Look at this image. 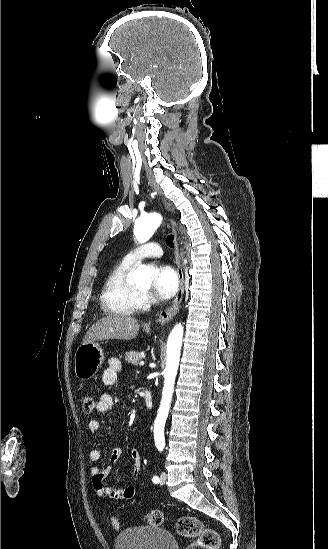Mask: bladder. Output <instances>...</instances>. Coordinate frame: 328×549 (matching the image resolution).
<instances>
[{"label": "bladder", "mask_w": 328, "mask_h": 549, "mask_svg": "<svg viewBox=\"0 0 328 549\" xmlns=\"http://www.w3.org/2000/svg\"><path fill=\"white\" fill-rule=\"evenodd\" d=\"M127 536L122 533L115 538L116 549H176L174 536L157 527L138 526Z\"/></svg>", "instance_id": "1"}]
</instances>
